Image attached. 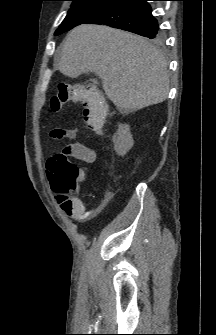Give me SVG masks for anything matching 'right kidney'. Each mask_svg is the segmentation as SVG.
<instances>
[{
  "mask_svg": "<svg viewBox=\"0 0 216 335\" xmlns=\"http://www.w3.org/2000/svg\"><path fill=\"white\" fill-rule=\"evenodd\" d=\"M114 150L119 156H124L133 147L134 140L127 124H119L117 132L113 135Z\"/></svg>",
  "mask_w": 216,
  "mask_h": 335,
  "instance_id": "1",
  "label": "right kidney"
}]
</instances>
